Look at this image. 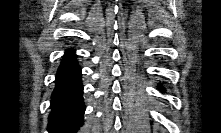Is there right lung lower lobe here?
<instances>
[{"mask_svg": "<svg viewBox=\"0 0 221 133\" xmlns=\"http://www.w3.org/2000/svg\"><path fill=\"white\" fill-rule=\"evenodd\" d=\"M74 58V50L68 49L56 74L49 115L50 133H75L83 124L81 68Z\"/></svg>", "mask_w": 221, "mask_h": 133, "instance_id": "1", "label": "right lung lower lobe"}]
</instances>
